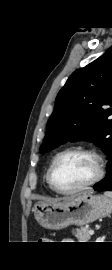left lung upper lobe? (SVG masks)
Returning <instances> with one entry per match:
<instances>
[{"label": "left lung upper lobe", "mask_w": 112, "mask_h": 270, "mask_svg": "<svg viewBox=\"0 0 112 270\" xmlns=\"http://www.w3.org/2000/svg\"><path fill=\"white\" fill-rule=\"evenodd\" d=\"M109 106V108H106ZM112 47L76 70L59 91L41 152L87 139L112 155Z\"/></svg>", "instance_id": "1"}]
</instances>
